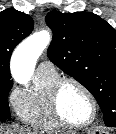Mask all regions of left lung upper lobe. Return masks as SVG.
<instances>
[{"label": "left lung upper lobe", "instance_id": "left-lung-upper-lobe-1", "mask_svg": "<svg viewBox=\"0 0 116 134\" xmlns=\"http://www.w3.org/2000/svg\"><path fill=\"white\" fill-rule=\"evenodd\" d=\"M46 23L53 31L49 59L92 93L105 125L116 127V30L91 12L53 10Z\"/></svg>", "mask_w": 116, "mask_h": 134}]
</instances>
